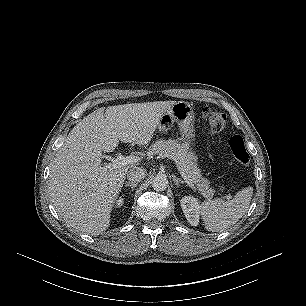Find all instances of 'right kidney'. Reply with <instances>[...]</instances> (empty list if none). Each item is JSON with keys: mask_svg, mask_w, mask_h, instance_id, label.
I'll return each mask as SVG.
<instances>
[{"mask_svg": "<svg viewBox=\"0 0 306 306\" xmlns=\"http://www.w3.org/2000/svg\"><path fill=\"white\" fill-rule=\"evenodd\" d=\"M124 199L122 197H119V199L116 201V207H120L123 205Z\"/></svg>", "mask_w": 306, "mask_h": 306, "instance_id": "right-kidney-1", "label": "right kidney"}]
</instances>
